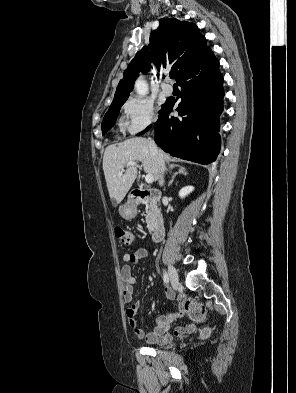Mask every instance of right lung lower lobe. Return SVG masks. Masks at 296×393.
Wrapping results in <instances>:
<instances>
[{"label": "right lung lower lobe", "instance_id": "right-lung-lower-lobe-1", "mask_svg": "<svg viewBox=\"0 0 296 393\" xmlns=\"http://www.w3.org/2000/svg\"><path fill=\"white\" fill-rule=\"evenodd\" d=\"M176 80L182 88L178 116L168 117L178 99L168 98L159 111L154 140L172 156L207 165L220 151L219 115L224 97L223 77L212 50L207 48Z\"/></svg>", "mask_w": 296, "mask_h": 393}]
</instances>
